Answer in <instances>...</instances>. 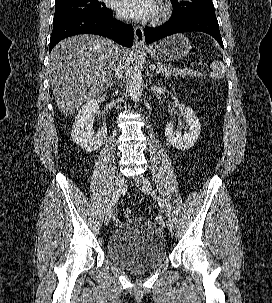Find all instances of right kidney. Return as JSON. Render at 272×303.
Segmentation results:
<instances>
[{"mask_svg":"<svg viewBox=\"0 0 272 303\" xmlns=\"http://www.w3.org/2000/svg\"><path fill=\"white\" fill-rule=\"evenodd\" d=\"M99 104L95 99L87 101L78 111L71 131L72 140L86 152L94 151L101 147L107 135L106 126H102L97 134L93 131L95 114Z\"/></svg>","mask_w":272,"mask_h":303,"instance_id":"1","label":"right kidney"}]
</instances>
